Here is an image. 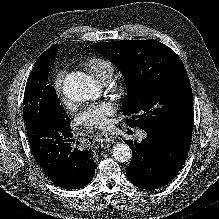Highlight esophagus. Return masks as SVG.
Returning a JSON list of instances; mask_svg holds the SVG:
<instances>
[{
    "instance_id": "esophagus-1",
    "label": "esophagus",
    "mask_w": 219,
    "mask_h": 219,
    "mask_svg": "<svg viewBox=\"0 0 219 219\" xmlns=\"http://www.w3.org/2000/svg\"><path fill=\"white\" fill-rule=\"evenodd\" d=\"M96 137L100 142H110L113 139L112 136H110V134L101 131L96 133Z\"/></svg>"
}]
</instances>
